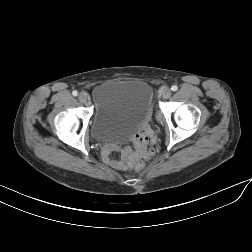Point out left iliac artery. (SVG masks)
Here are the masks:
<instances>
[{"label": "left iliac artery", "mask_w": 252, "mask_h": 252, "mask_svg": "<svg viewBox=\"0 0 252 252\" xmlns=\"http://www.w3.org/2000/svg\"><path fill=\"white\" fill-rule=\"evenodd\" d=\"M171 90H172V91H177V90H178V87H177L176 85H173V86L171 87Z\"/></svg>", "instance_id": "44dca946"}]
</instances>
